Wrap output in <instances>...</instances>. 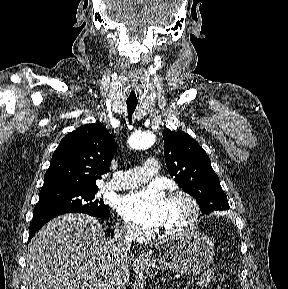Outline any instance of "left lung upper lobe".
Wrapping results in <instances>:
<instances>
[{"instance_id":"obj_1","label":"left lung upper lobe","mask_w":288,"mask_h":289,"mask_svg":"<svg viewBox=\"0 0 288 289\" xmlns=\"http://www.w3.org/2000/svg\"><path fill=\"white\" fill-rule=\"evenodd\" d=\"M163 138L170 175L183 191L197 200L200 210L209 214L230 209L219 178L199 143L185 132L169 129L163 132Z\"/></svg>"}]
</instances>
